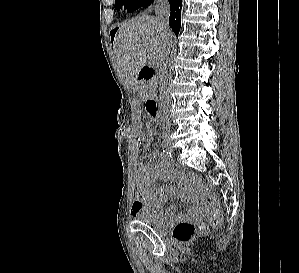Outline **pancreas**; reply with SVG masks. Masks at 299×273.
Masks as SVG:
<instances>
[{
    "instance_id": "obj_1",
    "label": "pancreas",
    "mask_w": 299,
    "mask_h": 273,
    "mask_svg": "<svg viewBox=\"0 0 299 273\" xmlns=\"http://www.w3.org/2000/svg\"><path fill=\"white\" fill-rule=\"evenodd\" d=\"M145 91L144 90H141V93H144Z\"/></svg>"
}]
</instances>
